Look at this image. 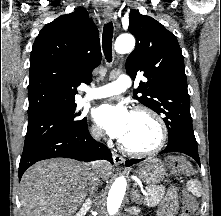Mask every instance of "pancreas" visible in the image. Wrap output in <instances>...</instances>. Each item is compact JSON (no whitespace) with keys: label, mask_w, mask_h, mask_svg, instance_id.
<instances>
[{"label":"pancreas","mask_w":221,"mask_h":216,"mask_svg":"<svg viewBox=\"0 0 221 216\" xmlns=\"http://www.w3.org/2000/svg\"><path fill=\"white\" fill-rule=\"evenodd\" d=\"M146 190L148 195L144 198V204L152 207L158 204L164 197L165 187L164 186H147Z\"/></svg>","instance_id":"obj_1"}]
</instances>
